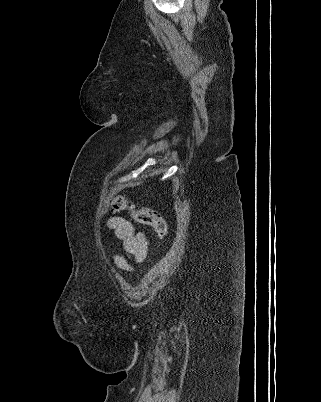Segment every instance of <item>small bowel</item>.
<instances>
[{
  "label": "small bowel",
  "mask_w": 321,
  "mask_h": 402,
  "mask_svg": "<svg viewBox=\"0 0 321 402\" xmlns=\"http://www.w3.org/2000/svg\"><path fill=\"white\" fill-rule=\"evenodd\" d=\"M108 227L122 240L127 256L134 258L138 263L145 260L148 252V240L141 232H135L133 225L125 218L114 216L108 221ZM115 265L124 271H132V266L127 259L113 256Z\"/></svg>",
  "instance_id": "c3829d8e"
}]
</instances>
